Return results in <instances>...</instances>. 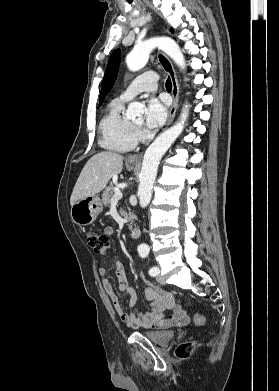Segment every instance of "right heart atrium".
<instances>
[{
	"instance_id": "right-heart-atrium-1",
	"label": "right heart atrium",
	"mask_w": 279,
	"mask_h": 391,
	"mask_svg": "<svg viewBox=\"0 0 279 391\" xmlns=\"http://www.w3.org/2000/svg\"><path fill=\"white\" fill-rule=\"evenodd\" d=\"M136 136H140L141 132L139 129H135Z\"/></svg>"
}]
</instances>
